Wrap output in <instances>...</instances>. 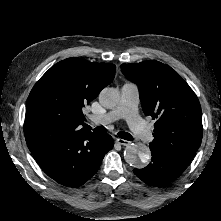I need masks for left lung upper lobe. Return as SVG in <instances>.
<instances>
[{"label":"left lung upper lobe","instance_id":"left-lung-upper-lobe-1","mask_svg":"<svg viewBox=\"0 0 221 221\" xmlns=\"http://www.w3.org/2000/svg\"><path fill=\"white\" fill-rule=\"evenodd\" d=\"M121 70L138 85L145 115L156 120L150 149L187 166L203 135L201 106L193 90L171 67L156 60L122 64Z\"/></svg>","mask_w":221,"mask_h":221}]
</instances>
